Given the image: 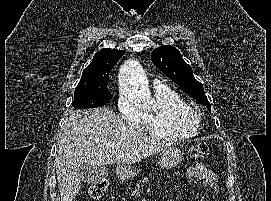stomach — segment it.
<instances>
[{"instance_id":"obj_1","label":"stomach","mask_w":271,"mask_h":201,"mask_svg":"<svg viewBox=\"0 0 271 201\" xmlns=\"http://www.w3.org/2000/svg\"><path fill=\"white\" fill-rule=\"evenodd\" d=\"M182 160L183 152L178 147L170 146L162 151L160 166L163 169H171L179 165ZM117 174L122 180L128 181L137 175V171L130 166L120 165L117 167Z\"/></svg>"}]
</instances>
